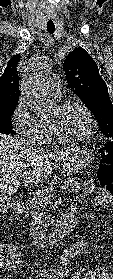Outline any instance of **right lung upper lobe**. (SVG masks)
<instances>
[{
  "instance_id": "1",
  "label": "right lung upper lobe",
  "mask_w": 113,
  "mask_h": 279,
  "mask_svg": "<svg viewBox=\"0 0 113 279\" xmlns=\"http://www.w3.org/2000/svg\"><path fill=\"white\" fill-rule=\"evenodd\" d=\"M20 55L13 56L0 77V109L16 106L19 98V82L17 78L16 65Z\"/></svg>"
}]
</instances>
